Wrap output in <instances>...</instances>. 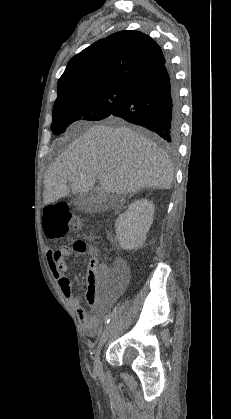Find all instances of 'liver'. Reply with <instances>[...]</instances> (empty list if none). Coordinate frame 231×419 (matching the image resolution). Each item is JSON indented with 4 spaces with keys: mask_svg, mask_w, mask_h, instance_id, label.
<instances>
[{
    "mask_svg": "<svg viewBox=\"0 0 231 419\" xmlns=\"http://www.w3.org/2000/svg\"><path fill=\"white\" fill-rule=\"evenodd\" d=\"M107 193L144 188L170 189L173 167L156 143L125 126L87 129L72 142L44 177V205L74 193H88L96 180ZM71 182L68 187L67 182Z\"/></svg>",
    "mask_w": 231,
    "mask_h": 419,
    "instance_id": "6515ba94",
    "label": "liver"
}]
</instances>
